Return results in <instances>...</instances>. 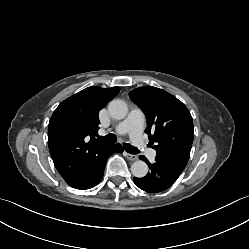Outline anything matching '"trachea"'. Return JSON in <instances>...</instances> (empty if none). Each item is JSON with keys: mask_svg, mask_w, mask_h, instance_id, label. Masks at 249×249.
Wrapping results in <instances>:
<instances>
[{"mask_svg": "<svg viewBox=\"0 0 249 249\" xmlns=\"http://www.w3.org/2000/svg\"><path fill=\"white\" fill-rule=\"evenodd\" d=\"M99 139H102V140H104L108 143H111V144H114L117 140L115 134H113V133H109L105 136H99ZM123 147H124L125 151L130 153V154H138L140 152L136 147L130 145L129 143H124Z\"/></svg>", "mask_w": 249, "mask_h": 249, "instance_id": "obj_1", "label": "trachea"}]
</instances>
